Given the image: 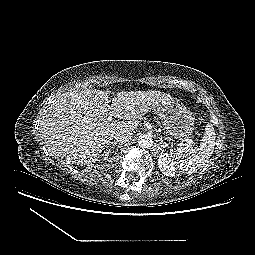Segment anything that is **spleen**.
Masks as SVG:
<instances>
[{"label": "spleen", "instance_id": "1", "mask_svg": "<svg viewBox=\"0 0 255 255\" xmlns=\"http://www.w3.org/2000/svg\"><path fill=\"white\" fill-rule=\"evenodd\" d=\"M215 130L211 123L205 127V134L198 148L181 147L174 154L177 167L183 173L192 174L202 168L215 148Z\"/></svg>", "mask_w": 255, "mask_h": 255}]
</instances>
